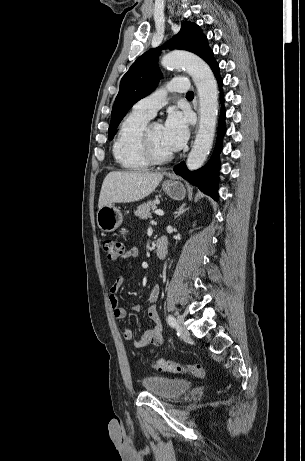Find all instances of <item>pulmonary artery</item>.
<instances>
[{
  "instance_id": "e3ab8cb5",
  "label": "pulmonary artery",
  "mask_w": 305,
  "mask_h": 461,
  "mask_svg": "<svg viewBox=\"0 0 305 461\" xmlns=\"http://www.w3.org/2000/svg\"><path fill=\"white\" fill-rule=\"evenodd\" d=\"M188 90L187 79L173 78L164 87L157 89L150 95L139 100L133 107V110L144 114L150 118L154 117L156 112L167 102L168 92H186Z\"/></svg>"
}]
</instances>
